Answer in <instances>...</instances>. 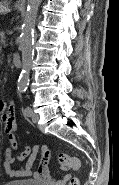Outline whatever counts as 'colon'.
Returning a JSON list of instances; mask_svg holds the SVG:
<instances>
[{
    "label": "colon",
    "instance_id": "1",
    "mask_svg": "<svg viewBox=\"0 0 119 185\" xmlns=\"http://www.w3.org/2000/svg\"><path fill=\"white\" fill-rule=\"evenodd\" d=\"M58 163L61 167L71 168L73 170H78L80 168V160L77 157H73L67 154H60L58 156ZM68 185H80L77 178H71Z\"/></svg>",
    "mask_w": 119,
    "mask_h": 185
}]
</instances>
